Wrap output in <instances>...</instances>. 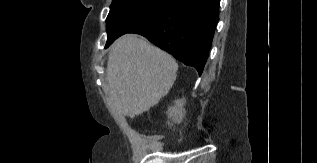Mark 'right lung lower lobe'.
<instances>
[{
  "mask_svg": "<svg viewBox=\"0 0 317 163\" xmlns=\"http://www.w3.org/2000/svg\"><path fill=\"white\" fill-rule=\"evenodd\" d=\"M219 3L220 0H173L156 17L128 33L145 36L185 65L195 67L201 75L218 21Z\"/></svg>",
  "mask_w": 317,
  "mask_h": 163,
  "instance_id": "obj_1",
  "label": "right lung lower lobe"
}]
</instances>
